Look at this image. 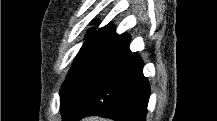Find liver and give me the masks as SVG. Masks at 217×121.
<instances>
[{"mask_svg":"<svg viewBox=\"0 0 217 121\" xmlns=\"http://www.w3.org/2000/svg\"><path fill=\"white\" fill-rule=\"evenodd\" d=\"M86 121H105L101 118H97V117H89L85 119Z\"/></svg>","mask_w":217,"mask_h":121,"instance_id":"1","label":"liver"}]
</instances>
